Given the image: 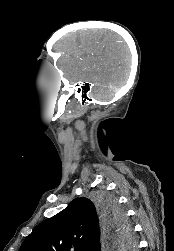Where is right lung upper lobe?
Segmentation results:
<instances>
[{"label": "right lung upper lobe", "mask_w": 174, "mask_h": 251, "mask_svg": "<svg viewBox=\"0 0 174 251\" xmlns=\"http://www.w3.org/2000/svg\"><path fill=\"white\" fill-rule=\"evenodd\" d=\"M104 220L88 198L74 199L64 210L38 224L19 251H101Z\"/></svg>", "instance_id": "right-lung-upper-lobe-1"}]
</instances>
